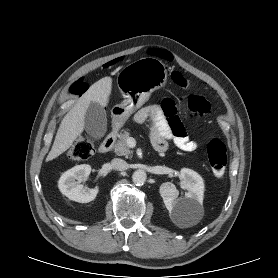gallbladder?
Listing matches in <instances>:
<instances>
[{
    "label": "gallbladder",
    "instance_id": "obj_1",
    "mask_svg": "<svg viewBox=\"0 0 278 278\" xmlns=\"http://www.w3.org/2000/svg\"><path fill=\"white\" fill-rule=\"evenodd\" d=\"M84 129L94 140L101 139L107 131V115L104 107L91 102L84 119Z\"/></svg>",
    "mask_w": 278,
    "mask_h": 278
}]
</instances>
